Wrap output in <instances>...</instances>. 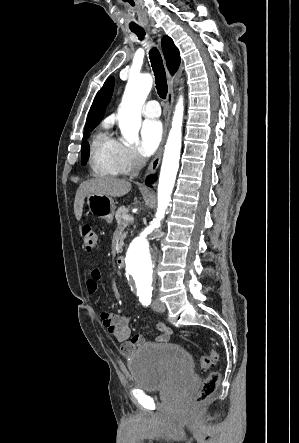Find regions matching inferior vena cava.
<instances>
[{"label": "inferior vena cava", "mask_w": 299, "mask_h": 443, "mask_svg": "<svg viewBox=\"0 0 299 443\" xmlns=\"http://www.w3.org/2000/svg\"><path fill=\"white\" fill-rule=\"evenodd\" d=\"M145 158L138 155L136 156L134 163H133V168H132V172L130 175V179H133L134 177H137L140 173V170L142 169V167L145 165Z\"/></svg>", "instance_id": "obj_1"}]
</instances>
